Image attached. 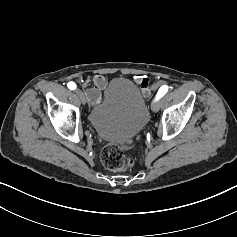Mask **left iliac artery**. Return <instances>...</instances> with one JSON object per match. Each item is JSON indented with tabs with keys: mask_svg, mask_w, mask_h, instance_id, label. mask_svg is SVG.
I'll use <instances>...</instances> for the list:
<instances>
[{
	"mask_svg": "<svg viewBox=\"0 0 237 237\" xmlns=\"http://www.w3.org/2000/svg\"><path fill=\"white\" fill-rule=\"evenodd\" d=\"M167 91H168V86L163 85V86L159 89V91H158V93H157V95H156V100H158V99H160L161 97H163V96L167 93Z\"/></svg>",
	"mask_w": 237,
	"mask_h": 237,
	"instance_id": "left-iliac-artery-1",
	"label": "left iliac artery"
}]
</instances>
